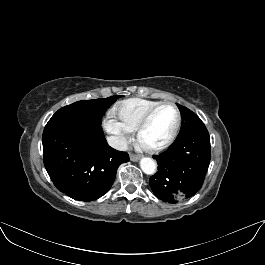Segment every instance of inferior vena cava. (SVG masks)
<instances>
[{"label":"inferior vena cava","mask_w":265,"mask_h":265,"mask_svg":"<svg viewBox=\"0 0 265 265\" xmlns=\"http://www.w3.org/2000/svg\"><path fill=\"white\" fill-rule=\"evenodd\" d=\"M108 144L117 150L126 151L128 149L127 141L124 138L118 136H109L107 137Z\"/></svg>","instance_id":"obj_1"}]
</instances>
